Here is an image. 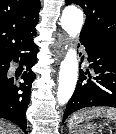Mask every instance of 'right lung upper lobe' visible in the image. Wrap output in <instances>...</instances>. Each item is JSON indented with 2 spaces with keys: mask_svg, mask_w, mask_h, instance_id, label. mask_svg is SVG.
<instances>
[{
  "mask_svg": "<svg viewBox=\"0 0 116 134\" xmlns=\"http://www.w3.org/2000/svg\"><path fill=\"white\" fill-rule=\"evenodd\" d=\"M40 0H0V62L33 42Z\"/></svg>",
  "mask_w": 116,
  "mask_h": 134,
  "instance_id": "1",
  "label": "right lung upper lobe"
}]
</instances>
